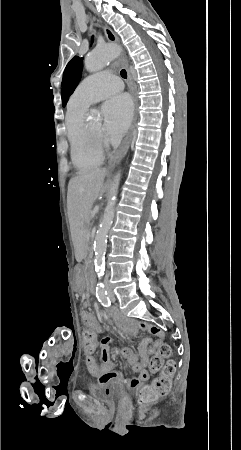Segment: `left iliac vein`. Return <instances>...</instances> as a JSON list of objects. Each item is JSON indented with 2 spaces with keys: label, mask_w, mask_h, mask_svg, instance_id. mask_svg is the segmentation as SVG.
Returning a JSON list of instances; mask_svg holds the SVG:
<instances>
[{
  "label": "left iliac vein",
  "mask_w": 241,
  "mask_h": 450,
  "mask_svg": "<svg viewBox=\"0 0 241 450\" xmlns=\"http://www.w3.org/2000/svg\"><path fill=\"white\" fill-rule=\"evenodd\" d=\"M110 298H111L112 301L116 300V298H115V296L113 294H110Z\"/></svg>",
  "instance_id": "obj_1"
}]
</instances>
